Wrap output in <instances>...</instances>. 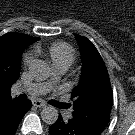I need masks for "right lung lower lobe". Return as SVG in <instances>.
<instances>
[{"label": "right lung lower lobe", "mask_w": 135, "mask_h": 135, "mask_svg": "<svg viewBox=\"0 0 135 135\" xmlns=\"http://www.w3.org/2000/svg\"><path fill=\"white\" fill-rule=\"evenodd\" d=\"M31 106L30 100L7 99L0 101V135H14L20 121Z\"/></svg>", "instance_id": "98d812e1"}]
</instances>
